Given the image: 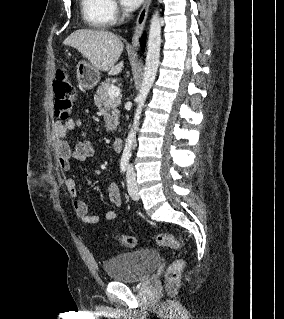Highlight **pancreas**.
Instances as JSON below:
<instances>
[{"mask_svg": "<svg viewBox=\"0 0 284 319\" xmlns=\"http://www.w3.org/2000/svg\"><path fill=\"white\" fill-rule=\"evenodd\" d=\"M113 86L109 80L101 83L94 95V104L99 112L104 116L107 131H114L118 126L119 110L117 107L120 105V97L110 98L108 94L109 88Z\"/></svg>", "mask_w": 284, "mask_h": 319, "instance_id": "1", "label": "pancreas"}]
</instances>
